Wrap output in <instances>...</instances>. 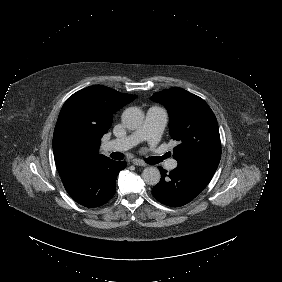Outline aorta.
Here are the masks:
<instances>
[{
	"mask_svg": "<svg viewBox=\"0 0 282 282\" xmlns=\"http://www.w3.org/2000/svg\"><path fill=\"white\" fill-rule=\"evenodd\" d=\"M144 112L137 106H132L124 110L122 122L128 129H137L144 122ZM142 179L147 185H157L160 182L161 174L156 167H147L142 172Z\"/></svg>",
	"mask_w": 282,
	"mask_h": 282,
	"instance_id": "762f6f07",
	"label": "aorta"
}]
</instances>
